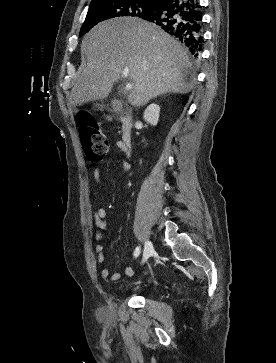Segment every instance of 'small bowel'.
Segmentation results:
<instances>
[{
    "label": "small bowel",
    "instance_id": "small-bowel-1",
    "mask_svg": "<svg viewBox=\"0 0 276 363\" xmlns=\"http://www.w3.org/2000/svg\"><path fill=\"white\" fill-rule=\"evenodd\" d=\"M117 145L121 148L122 147V143L118 142ZM131 166L130 164V157L126 156L125 159L123 160V167L125 169H129ZM93 178L96 182V184L99 186L100 185V181H101V174L99 169H94L93 170ZM106 209L105 208H98L97 210H95L94 214H93V219L95 221L96 226L98 227L97 231H96V239L98 241H101L103 238L102 235V229H104L106 227V222H105V217H106ZM95 253L97 256V261L99 264H103L106 260L105 257V253H104V247L101 244H98L95 247ZM123 275L127 276V277H133L134 276V269L130 266L125 267L123 269ZM100 276L103 279H109L111 281H119L122 278V274L121 273H112L110 272L108 267H103L100 270Z\"/></svg>",
    "mask_w": 276,
    "mask_h": 363
}]
</instances>
